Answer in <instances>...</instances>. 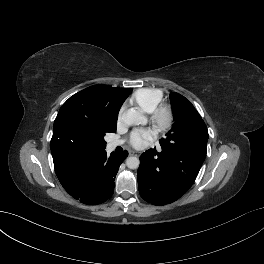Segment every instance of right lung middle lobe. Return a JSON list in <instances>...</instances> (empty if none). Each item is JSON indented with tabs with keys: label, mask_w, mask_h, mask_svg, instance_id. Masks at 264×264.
<instances>
[{
	"label": "right lung middle lobe",
	"mask_w": 264,
	"mask_h": 264,
	"mask_svg": "<svg viewBox=\"0 0 264 264\" xmlns=\"http://www.w3.org/2000/svg\"><path fill=\"white\" fill-rule=\"evenodd\" d=\"M117 117L111 116L102 99L82 90L60 108L54 122V134L69 151L94 153L104 150L106 133L116 132Z\"/></svg>",
	"instance_id": "dd1d6c3e"
}]
</instances>
